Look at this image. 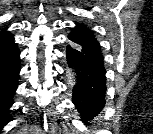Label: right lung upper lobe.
I'll return each mask as SVG.
<instances>
[{
    "mask_svg": "<svg viewBox=\"0 0 153 134\" xmlns=\"http://www.w3.org/2000/svg\"><path fill=\"white\" fill-rule=\"evenodd\" d=\"M14 37L4 29L0 32V48L8 46L13 43Z\"/></svg>",
    "mask_w": 153,
    "mask_h": 134,
    "instance_id": "obj_1",
    "label": "right lung upper lobe"
}]
</instances>
